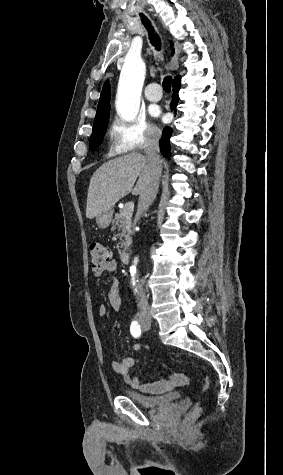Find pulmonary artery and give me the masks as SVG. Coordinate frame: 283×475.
I'll return each instance as SVG.
<instances>
[{"instance_id": "e3ab8cb5", "label": "pulmonary artery", "mask_w": 283, "mask_h": 475, "mask_svg": "<svg viewBox=\"0 0 283 475\" xmlns=\"http://www.w3.org/2000/svg\"><path fill=\"white\" fill-rule=\"evenodd\" d=\"M119 90H142V89H119ZM145 95L147 96V100L151 102H158L161 97H158L161 95L162 90L160 88V85L158 83H151L149 87L145 88Z\"/></svg>"}]
</instances>
